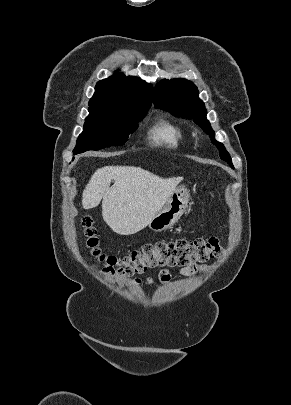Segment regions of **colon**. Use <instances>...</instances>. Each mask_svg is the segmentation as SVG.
Listing matches in <instances>:
<instances>
[{"mask_svg":"<svg viewBox=\"0 0 291 405\" xmlns=\"http://www.w3.org/2000/svg\"><path fill=\"white\" fill-rule=\"evenodd\" d=\"M86 246L106 273L133 275L157 267H187L217 258L222 246L217 236L198 239H177L148 243L129 254L118 257L105 254L99 247L93 220L85 217L82 222Z\"/></svg>","mask_w":291,"mask_h":405,"instance_id":"1","label":"colon"}]
</instances>
